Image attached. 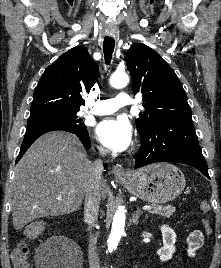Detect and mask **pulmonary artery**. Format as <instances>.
<instances>
[{
	"instance_id": "pulmonary-artery-1",
	"label": "pulmonary artery",
	"mask_w": 221,
	"mask_h": 268,
	"mask_svg": "<svg viewBox=\"0 0 221 268\" xmlns=\"http://www.w3.org/2000/svg\"><path fill=\"white\" fill-rule=\"evenodd\" d=\"M132 104V99L126 93H119L115 98L97 102L90 111L94 115H107L116 112L120 107Z\"/></svg>"
}]
</instances>
